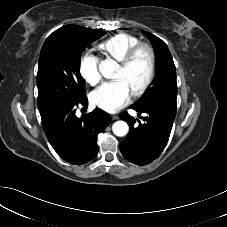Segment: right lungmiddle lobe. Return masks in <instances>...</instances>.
<instances>
[{
  "label": "right lung middle lobe",
  "instance_id": "right-lung-middle-lobe-1",
  "mask_svg": "<svg viewBox=\"0 0 227 227\" xmlns=\"http://www.w3.org/2000/svg\"><path fill=\"white\" fill-rule=\"evenodd\" d=\"M104 33L78 25H66L49 35L38 61L39 112L77 103L85 97V80L80 74L81 54Z\"/></svg>",
  "mask_w": 227,
  "mask_h": 227
}]
</instances>
